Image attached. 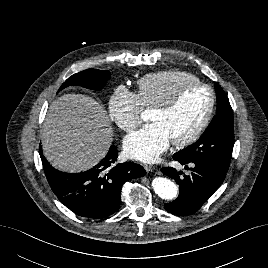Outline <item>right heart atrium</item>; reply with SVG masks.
I'll use <instances>...</instances> for the list:
<instances>
[{
    "label": "right heart atrium",
    "instance_id": "obj_1",
    "mask_svg": "<svg viewBox=\"0 0 268 268\" xmlns=\"http://www.w3.org/2000/svg\"><path fill=\"white\" fill-rule=\"evenodd\" d=\"M143 104L138 93L118 86L108 101L110 118L123 131L129 132L141 123Z\"/></svg>",
    "mask_w": 268,
    "mask_h": 268
}]
</instances>
